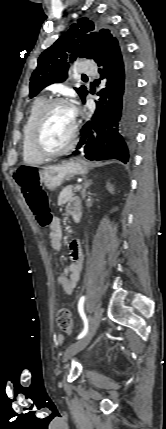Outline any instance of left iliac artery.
<instances>
[{"label": "left iliac artery", "instance_id": "1", "mask_svg": "<svg viewBox=\"0 0 166 429\" xmlns=\"http://www.w3.org/2000/svg\"><path fill=\"white\" fill-rule=\"evenodd\" d=\"M84 301H85V296H82L78 302V311L80 313V316L83 319L84 322V329L82 330V332L77 336V339H81L83 338L87 332H88V320L86 318V315L84 313Z\"/></svg>", "mask_w": 166, "mask_h": 429}]
</instances>
